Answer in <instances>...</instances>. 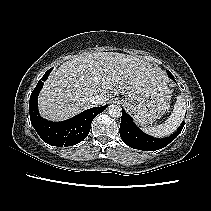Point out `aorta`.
<instances>
[{"label": "aorta", "instance_id": "762f6f07", "mask_svg": "<svg viewBox=\"0 0 211 211\" xmlns=\"http://www.w3.org/2000/svg\"><path fill=\"white\" fill-rule=\"evenodd\" d=\"M108 114L112 117H120L122 114V109L117 104H111L108 106Z\"/></svg>", "mask_w": 211, "mask_h": 211}]
</instances>
